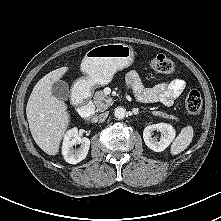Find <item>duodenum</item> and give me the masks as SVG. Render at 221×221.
Listing matches in <instances>:
<instances>
[{
  "mask_svg": "<svg viewBox=\"0 0 221 221\" xmlns=\"http://www.w3.org/2000/svg\"><path fill=\"white\" fill-rule=\"evenodd\" d=\"M73 99L78 106L81 118L84 121H89L93 117L95 111L93 103L80 98L77 94L73 95Z\"/></svg>",
  "mask_w": 221,
  "mask_h": 221,
  "instance_id": "1",
  "label": "duodenum"
}]
</instances>
